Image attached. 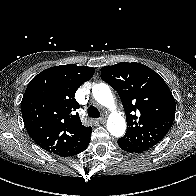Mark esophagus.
Listing matches in <instances>:
<instances>
[{"label": "esophagus", "instance_id": "obj_1", "mask_svg": "<svg viewBox=\"0 0 196 196\" xmlns=\"http://www.w3.org/2000/svg\"><path fill=\"white\" fill-rule=\"evenodd\" d=\"M98 121H99V123L103 124V123L106 122V118L105 117H102Z\"/></svg>", "mask_w": 196, "mask_h": 196}]
</instances>
